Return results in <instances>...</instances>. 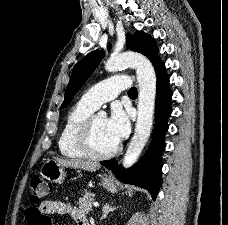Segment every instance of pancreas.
<instances>
[{
	"mask_svg": "<svg viewBox=\"0 0 228 225\" xmlns=\"http://www.w3.org/2000/svg\"><path fill=\"white\" fill-rule=\"evenodd\" d=\"M92 195L93 193L86 191L83 197H81V199H78L79 203H77V205H79V209H81L85 215H89V211H92V203H94Z\"/></svg>",
	"mask_w": 228,
	"mask_h": 225,
	"instance_id": "1",
	"label": "pancreas"
}]
</instances>
